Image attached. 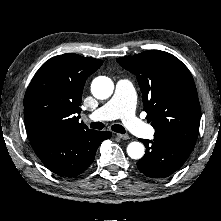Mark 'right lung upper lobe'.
Returning <instances> with one entry per match:
<instances>
[{
    "instance_id": "right-lung-upper-lobe-1",
    "label": "right lung upper lobe",
    "mask_w": 221,
    "mask_h": 221,
    "mask_svg": "<svg viewBox=\"0 0 221 221\" xmlns=\"http://www.w3.org/2000/svg\"><path fill=\"white\" fill-rule=\"evenodd\" d=\"M103 61L77 54H63L45 62L31 80L23 101L28 137L41 133H83L79 123L86 79Z\"/></svg>"
}]
</instances>
